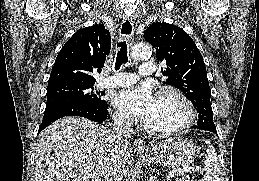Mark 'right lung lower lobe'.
Masks as SVG:
<instances>
[{
    "mask_svg": "<svg viewBox=\"0 0 259 181\" xmlns=\"http://www.w3.org/2000/svg\"><path fill=\"white\" fill-rule=\"evenodd\" d=\"M107 103L93 106L85 103H64L44 112L43 121L39 127L38 134L54 121L65 116L85 117L94 122H103L107 118Z\"/></svg>",
    "mask_w": 259,
    "mask_h": 181,
    "instance_id": "1",
    "label": "right lung lower lobe"
}]
</instances>
